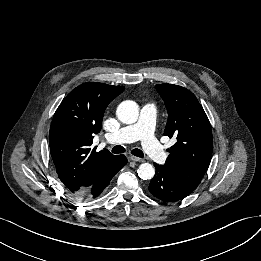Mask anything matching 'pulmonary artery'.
<instances>
[{
  "label": "pulmonary artery",
  "instance_id": "obj_1",
  "mask_svg": "<svg viewBox=\"0 0 261 261\" xmlns=\"http://www.w3.org/2000/svg\"><path fill=\"white\" fill-rule=\"evenodd\" d=\"M156 117V105L147 103L141 109L140 120L130 126H126L118 132L107 135L109 143H131L141 140L142 146L149 156L159 164H164L167 155L160 148L154 135Z\"/></svg>",
  "mask_w": 261,
  "mask_h": 261
}]
</instances>
